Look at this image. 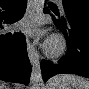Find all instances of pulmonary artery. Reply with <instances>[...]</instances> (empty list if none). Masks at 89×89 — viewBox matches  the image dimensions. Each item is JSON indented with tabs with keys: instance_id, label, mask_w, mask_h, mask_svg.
Listing matches in <instances>:
<instances>
[{
	"instance_id": "pulmonary-artery-1",
	"label": "pulmonary artery",
	"mask_w": 89,
	"mask_h": 89,
	"mask_svg": "<svg viewBox=\"0 0 89 89\" xmlns=\"http://www.w3.org/2000/svg\"><path fill=\"white\" fill-rule=\"evenodd\" d=\"M57 2H58V4L60 5V6H62V4H61V0H57Z\"/></svg>"
}]
</instances>
